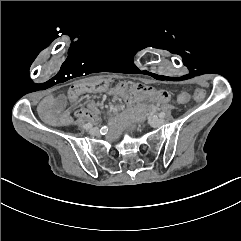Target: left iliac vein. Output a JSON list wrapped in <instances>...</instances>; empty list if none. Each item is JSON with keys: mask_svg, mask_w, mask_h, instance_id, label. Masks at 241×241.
I'll return each mask as SVG.
<instances>
[{"mask_svg": "<svg viewBox=\"0 0 241 241\" xmlns=\"http://www.w3.org/2000/svg\"><path fill=\"white\" fill-rule=\"evenodd\" d=\"M150 125H152L153 127H159L161 125H163L165 123V120L162 118H153L150 121Z\"/></svg>", "mask_w": 241, "mask_h": 241, "instance_id": "1", "label": "left iliac vein"}]
</instances>
